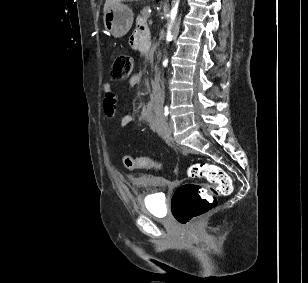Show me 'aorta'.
Here are the masks:
<instances>
[{
  "label": "aorta",
  "instance_id": "1",
  "mask_svg": "<svg viewBox=\"0 0 308 283\" xmlns=\"http://www.w3.org/2000/svg\"><path fill=\"white\" fill-rule=\"evenodd\" d=\"M177 10H178V0L176 2V4L174 5V7L172 8L171 10V13H170V19H171V23L175 20V17L177 15ZM171 25H169L168 27V32H167V41H170L171 40ZM163 65L166 66L167 65V60H165L163 62Z\"/></svg>",
  "mask_w": 308,
  "mask_h": 283
}]
</instances>
